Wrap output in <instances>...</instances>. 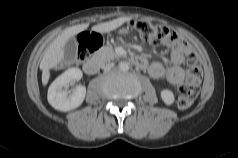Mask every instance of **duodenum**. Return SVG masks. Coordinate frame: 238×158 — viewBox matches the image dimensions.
I'll return each mask as SVG.
<instances>
[{
  "label": "duodenum",
  "mask_w": 238,
  "mask_h": 158,
  "mask_svg": "<svg viewBox=\"0 0 238 158\" xmlns=\"http://www.w3.org/2000/svg\"><path fill=\"white\" fill-rule=\"evenodd\" d=\"M132 61H133L134 65H136L139 68L143 69V68L147 67V61L142 57H135V58H133ZM83 69H84L85 73H87L89 75H93V74L97 73V71L99 70V63L96 60H89L84 63Z\"/></svg>",
  "instance_id": "1"
}]
</instances>
